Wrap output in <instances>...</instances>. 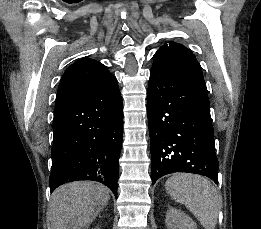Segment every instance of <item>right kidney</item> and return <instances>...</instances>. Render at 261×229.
Here are the masks:
<instances>
[{"label": "right kidney", "instance_id": "obj_1", "mask_svg": "<svg viewBox=\"0 0 261 229\" xmlns=\"http://www.w3.org/2000/svg\"><path fill=\"white\" fill-rule=\"evenodd\" d=\"M95 229H99V227H95Z\"/></svg>", "mask_w": 261, "mask_h": 229}]
</instances>
